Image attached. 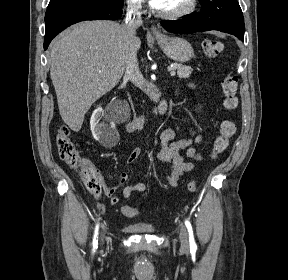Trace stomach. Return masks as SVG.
<instances>
[{
    "label": "stomach",
    "mask_w": 288,
    "mask_h": 280,
    "mask_svg": "<svg viewBox=\"0 0 288 280\" xmlns=\"http://www.w3.org/2000/svg\"><path fill=\"white\" fill-rule=\"evenodd\" d=\"M156 39L167 57L176 62L184 63L194 56L193 48L186 39L166 35H159Z\"/></svg>",
    "instance_id": "0dacf381"
}]
</instances>
